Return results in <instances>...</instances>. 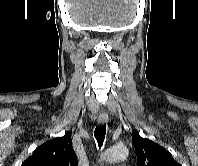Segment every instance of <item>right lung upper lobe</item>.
<instances>
[{"instance_id":"right-lung-upper-lobe-1","label":"right lung upper lobe","mask_w":198,"mask_h":166,"mask_svg":"<svg viewBox=\"0 0 198 166\" xmlns=\"http://www.w3.org/2000/svg\"><path fill=\"white\" fill-rule=\"evenodd\" d=\"M77 156L69 132L36 148L21 166H77Z\"/></svg>"}]
</instances>
